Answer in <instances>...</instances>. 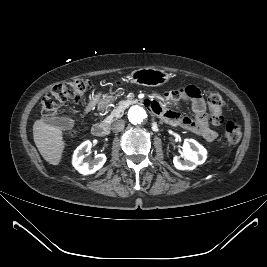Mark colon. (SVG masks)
I'll list each match as a JSON object with an SVG mask.
<instances>
[{
    "label": "colon",
    "mask_w": 267,
    "mask_h": 267,
    "mask_svg": "<svg viewBox=\"0 0 267 267\" xmlns=\"http://www.w3.org/2000/svg\"><path fill=\"white\" fill-rule=\"evenodd\" d=\"M91 87L85 79H74L55 85L41 101L42 115L47 119H54L62 115L64 109L73 103L82 102ZM210 120L213 124L223 123L225 101L218 93L211 92L208 96ZM74 136V129L68 131ZM241 138V127L237 118H229L225 123V141L227 144H236Z\"/></svg>",
    "instance_id": "obj_1"
}]
</instances>
